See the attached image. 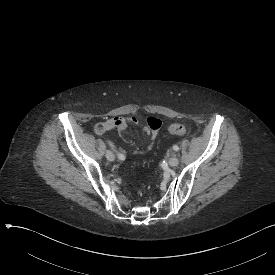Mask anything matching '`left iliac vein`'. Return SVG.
I'll return each instance as SVG.
<instances>
[{
    "mask_svg": "<svg viewBox=\"0 0 275 275\" xmlns=\"http://www.w3.org/2000/svg\"><path fill=\"white\" fill-rule=\"evenodd\" d=\"M178 163H179V159L177 158L176 155H172V156L170 157V159L168 160V164H169V166H171V167L177 166Z\"/></svg>",
    "mask_w": 275,
    "mask_h": 275,
    "instance_id": "obj_1",
    "label": "left iliac vein"
}]
</instances>
